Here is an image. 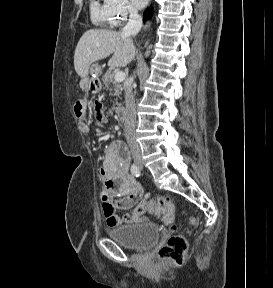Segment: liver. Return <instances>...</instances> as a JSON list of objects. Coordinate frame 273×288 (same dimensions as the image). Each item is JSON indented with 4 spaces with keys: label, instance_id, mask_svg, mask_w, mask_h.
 Wrapping results in <instances>:
<instances>
[{
    "label": "liver",
    "instance_id": "6515ba94",
    "mask_svg": "<svg viewBox=\"0 0 273 288\" xmlns=\"http://www.w3.org/2000/svg\"><path fill=\"white\" fill-rule=\"evenodd\" d=\"M136 49L132 40L121 32L107 29H90L80 38L74 54L76 73L85 78L92 63L112 54L110 68L125 67L134 58Z\"/></svg>",
    "mask_w": 273,
    "mask_h": 288
}]
</instances>
